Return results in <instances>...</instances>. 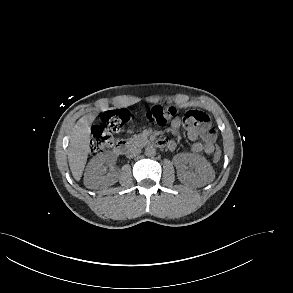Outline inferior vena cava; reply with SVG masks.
Instances as JSON below:
<instances>
[{
    "instance_id": "obj_1",
    "label": "inferior vena cava",
    "mask_w": 293,
    "mask_h": 293,
    "mask_svg": "<svg viewBox=\"0 0 293 293\" xmlns=\"http://www.w3.org/2000/svg\"><path fill=\"white\" fill-rule=\"evenodd\" d=\"M141 153V149L138 148V147H134V148H131L128 152H127V157L128 158H132L134 156H137Z\"/></svg>"
}]
</instances>
